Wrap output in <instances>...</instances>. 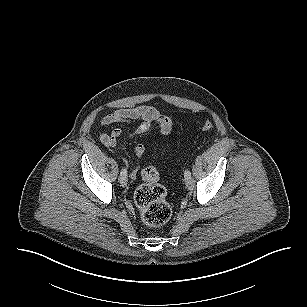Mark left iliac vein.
I'll list each match as a JSON object with an SVG mask.
<instances>
[{
  "label": "left iliac vein",
  "mask_w": 307,
  "mask_h": 307,
  "mask_svg": "<svg viewBox=\"0 0 307 307\" xmlns=\"http://www.w3.org/2000/svg\"><path fill=\"white\" fill-rule=\"evenodd\" d=\"M185 184L188 189H192L194 187L195 181L191 175L185 177Z\"/></svg>",
  "instance_id": "4c4485c4"
}]
</instances>
